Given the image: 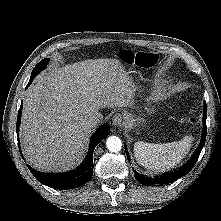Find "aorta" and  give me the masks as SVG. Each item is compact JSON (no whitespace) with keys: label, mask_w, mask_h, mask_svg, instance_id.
<instances>
[{"label":"aorta","mask_w":221,"mask_h":221,"mask_svg":"<svg viewBox=\"0 0 221 221\" xmlns=\"http://www.w3.org/2000/svg\"><path fill=\"white\" fill-rule=\"evenodd\" d=\"M106 146L110 152H118L122 148V141L117 136H110L107 138Z\"/></svg>","instance_id":"762f6f07"}]
</instances>
